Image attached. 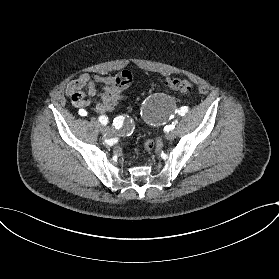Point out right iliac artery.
<instances>
[{"label": "right iliac artery", "instance_id": "1", "mask_svg": "<svg viewBox=\"0 0 279 279\" xmlns=\"http://www.w3.org/2000/svg\"><path fill=\"white\" fill-rule=\"evenodd\" d=\"M88 114H89L88 111H86L85 109L79 110V115H80V117H82V118L88 116ZM99 121H100L103 125H106V124L108 123V118L105 117V116H100V117H99ZM113 125H114V127H115L116 129L121 130V129H123V128L125 127V125H126V120H125V118L122 117V116H117V117H115L114 120H113Z\"/></svg>", "mask_w": 279, "mask_h": 279}]
</instances>
